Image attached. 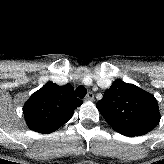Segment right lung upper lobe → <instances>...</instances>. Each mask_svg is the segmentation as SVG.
I'll return each mask as SVG.
<instances>
[{
	"mask_svg": "<svg viewBox=\"0 0 164 164\" xmlns=\"http://www.w3.org/2000/svg\"><path fill=\"white\" fill-rule=\"evenodd\" d=\"M81 104L71 84L59 86L48 82L32 94L24 105L23 113L31 130L49 134L69 121Z\"/></svg>",
	"mask_w": 164,
	"mask_h": 164,
	"instance_id": "cb5924a9",
	"label": "right lung upper lobe"
}]
</instances>
